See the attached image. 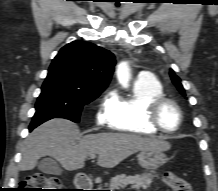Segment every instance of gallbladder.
<instances>
[{
	"label": "gallbladder",
	"mask_w": 218,
	"mask_h": 191,
	"mask_svg": "<svg viewBox=\"0 0 218 191\" xmlns=\"http://www.w3.org/2000/svg\"><path fill=\"white\" fill-rule=\"evenodd\" d=\"M38 169L45 174L60 175L62 172L57 161L51 157L43 158L38 163Z\"/></svg>",
	"instance_id": "bac80fb5"
}]
</instances>
